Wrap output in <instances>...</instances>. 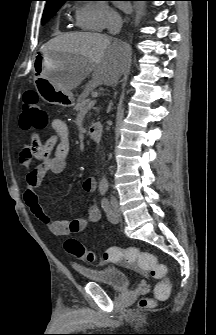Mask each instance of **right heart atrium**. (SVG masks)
Masks as SVG:
<instances>
[{
	"label": "right heart atrium",
	"mask_w": 216,
	"mask_h": 335,
	"mask_svg": "<svg viewBox=\"0 0 216 335\" xmlns=\"http://www.w3.org/2000/svg\"><path fill=\"white\" fill-rule=\"evenodd\" d=\"M77 24L88 30L102 31L106 24L120 21V16L101 2H85L76 8Z\"/></svg>",
	"instance_id": "1"
}]
</instances>
